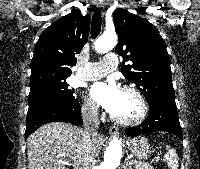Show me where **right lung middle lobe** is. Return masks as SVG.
<instances>
[{
	"label": "right lung middle lobe",
	"mask_w": 200,
	"mask_h": 169,
	"mask_svg": "<svg viewBox=\"0 0 200 169\" xmlns=\"http://www.w3.org/2000/svg\"><path fill=\"white\" fill-rule=\"evenodd\" d=\"M74 89H70L63 80H48L31 86L29 93V107L41 104H60L70 106L77 100L73 94Z\"/></svg>",
	"instance_id": "dd1d6c3e"
}]
</instances>
